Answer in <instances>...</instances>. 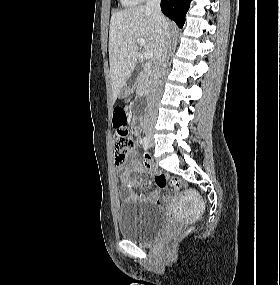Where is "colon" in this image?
I'll return each instance as SVG.
<instances>
[{
  "label": "colon",
  "mask_w": 280,
  "mask_h": 285,
  "mask_svg": "<svg viewBox=\"0 0 280 285\" xmlns=\"http://www.w3.org/2000/svg\"><path fill=\"white\" fill-rule=\"evenodd\" d=\"M114 124V148L116 163H123L127 155L131 154L135 149V142L127 131L128 118L123 108H117L113 114ZM145 158V157H144ZM155 183L160 187H170L174 190L182 188V182L179 179L171 178L164 173L157 172L154 175ZM190 229L186 230L184 235L189 234Z\"/></svg>",
  "instance_id": "1"
}]
</instances>
